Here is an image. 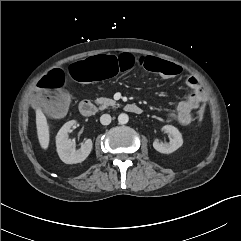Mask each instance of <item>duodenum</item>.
Listing matches in <instances>:
<instances>
[{
    "label": "duodenum",
    "instance_id": "obj_1",
    "mask_svg": "<svg viewBox=\"0 0 241 241\" xmlns=\"http://www.w3.org/2000/svg\"><path fill=\"white\" fill-rule=\"evenodd\" d=\"M125 109L133 114H140L142 112V109L136 105V104H127L125 106ZM96 106L95 104L90 100H83L79 104V111L80 113L85 117H91L96 113Z\"/></svg>",
    "mask_w": 241,
    "mask_h": 241
}]
</instances>
